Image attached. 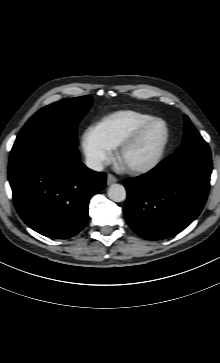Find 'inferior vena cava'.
Wrapping results in <instances>:
<instances>
[{"label": "inferior vena cava", "instance_id": "inferior-vena-cava-1", "mask_svg": "<svg viewBox=\"0 0 220 363\" xmlns=\"http://www.w3.org/2000/svg\"><path fill=\"white\" fill-rule=\"evenodd\" d=\"M86 166L94 171H102L103 170V164L100 160L96 158H87L86 159Z\"/></svg>", "mask_w": 220, "mask_h": 363}]
</instances>
